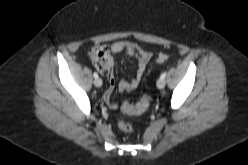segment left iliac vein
I'll return each mask as SVG.
<instances>
[{"label":"left iliac vein","instance_id":"1","mask_svg":"<svg viewBox=\"0 0 248 165\" xmlns=\"http://www.w3.org/2000/svg\"><path fill=\"white\" fill-rule=\"evenodd\" d=\"M165 85H166V81H165V79H159L158 81H157V87L159 88V89H163L164 87H165Z\"/></svg>","mask_w":248,"mask_h":165}]
</instances>
